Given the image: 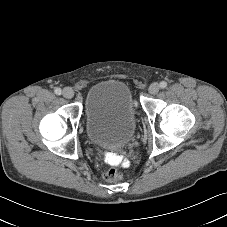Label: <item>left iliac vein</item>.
Segmentation results:
<instances>
[{
    "label": "left iliac vein",
    "instance_id": "1",
    "mask_svg": "<svg viewBox=\"0 0 227 227\" xmlns=\"http://www.w3.org/2000/svg\"><path fill=\"white\" fill-rule=\"evenodd\" d=\"M159 90H160V86L158 83H152L148 89L149 93L153 95L157 94Z\"/></svg>",
    "mask_w": 227,
    "mask_h": 227
}]
</instances>
